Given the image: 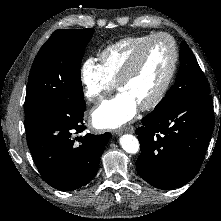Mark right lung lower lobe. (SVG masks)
<instances>
[{
  "label": "right lung lower lobe",
  "mask_w": 221,
  "mask_h": 221,
  "mask_svg": "<svg viewBox=\"0 0 221 221\" xmlns=\"http://www.w3.org/2000/svg\"><path fill=\"white\" fill-rule=\"evenodd\" d=\"M86 104L64 102L43 112L26 128L27 144L34 162L46 183L71 191L85 186L95 176L100 156L111 134H86L75 143L74 134L86 127L83 114Z\"/></svg>",
  "instance_id": "98d812e1"
}]
</instances>
